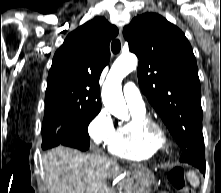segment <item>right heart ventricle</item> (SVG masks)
I'll return each mask as SVG.
<instances>
[{
	"label": "right heart ventricle",
	"mask_w": 221,
	"mask_h": 193,
	"mask_svg": "<svg viewBox=\"0 0 221 193\" xmlns=\"http://www.w3.org/2000/svg\"><path fill=\"white\" fill-rule=\"evenodd\" d=\"M132 110L131 121L122 123L108 144V151L117 157L126 159H141L159 152V146L151 141L141 129V124L147 117L145 110Z\"/></svg>",
	"instance_id": "right-heart-ventricle-1"
}]
</instances>
